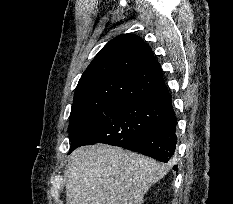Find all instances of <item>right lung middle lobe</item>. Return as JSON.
Returning <instances> with one entry per match:
<instances>
[{
	"instance_id": "right-lung-middle-lobe-1",
	"label": "right lung middle lobe",
	"mask_w": 233,
	"mask_h": 204,
	"mask_svg": "<svg viewBox=\"0 0 233 204\" xmlns=\"http://www.w3.org/2000/svg\"><path fill=\"white\" fill-rule=\"evenodd\" d=\"M163 122L152 98L111 103L69 123L70 152L82 144L116 145L123 139L154 131Z\"/></svg>"
}]
</instances>
